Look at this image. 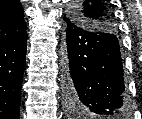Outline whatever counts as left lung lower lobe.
I'll list each match as a JSON object with an SVG mask.
<instances>
[{
    "instance_id": "0a47b994",
    "label": "left lung lower lobe",
    "mask_w": 142,
    "mask_h": 119,
    "mask_svg": "<svg viewBox=\"0 0 142 119\" xmlns=\"http://www.w3.org/2000/svg\"><path fill=\"white\" fill-rule=\"evenodd\" d=\"M66 22L65 98L72 114L125 119L129 114L115 34Z\"/></svg>"
}]
</instances>
